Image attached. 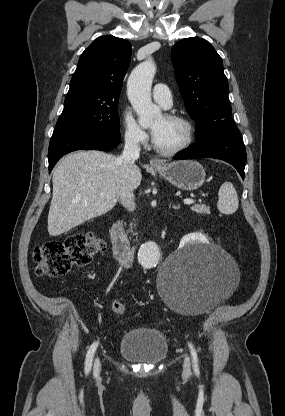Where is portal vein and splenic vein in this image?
<instances>
[{"label":"portal vein and splenic vein","instance_id":"18ae733b","mask_svg":"<svg viewBox=\"0 0 285 416\" xmlns=\"http://www.w3.org/2000/svg\"><path fill=\"white\" fill-rule=\"evenodd\" d=\"M99 196H104V194H99ZM195 200H184V204H194Z\"/></svg>","mask_w":285,"mask_h":416}]
</instances>
